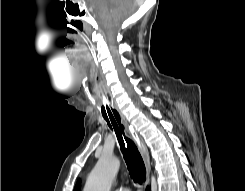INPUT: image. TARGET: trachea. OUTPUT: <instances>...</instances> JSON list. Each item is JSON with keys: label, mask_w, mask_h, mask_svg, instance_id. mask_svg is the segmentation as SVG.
<instances>
[{"label": "trachea", "mask_w": 245, "mask_h": 191, "mask_svg": "<svg viewBox=\"0 0 245 191\" xmlns=\"http://www.w3.org/2000/svg\"><path fill=\"white\" fill-rule=\"evenodd\" d=\"M101 111L102 116L106 120L109 128L117 137L131 178L134 182L141 184L146 180V168L143 159L134 142L125 134L124 126L121 124L120 115L112 106L104 91L102 92Z\"/></svg>", "instance_id": "3493384b"}]
</instances>
